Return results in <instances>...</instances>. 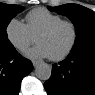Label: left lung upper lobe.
Here are the masks:
<instances>
[{
    "mask_svg": "<svg viewBox=\"0 0 95 95\" xmlns=\"http://www.w3.org/2000/svg\"><path fill=\"white\" fill-rule=\"evenodd\" d=\"M59 14L66 15L72 20L76 28V41L72 51L95 43V12L78 4H64L49 8Z\"/></svg>",
    "mask_w": 95,
    "mask_h": 95,
    "instance_id": "5c2ea615",
    "label": "left lung upper lobe"
}]
</instances>
